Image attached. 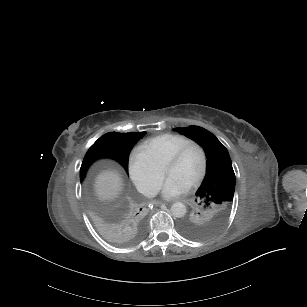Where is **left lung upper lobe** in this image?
Listing matches in <instances>:
<instances>
[{
	"mask_svg": "<svg viewBox=\"0 0 307 307\" xmlns=\"http://www.w3.org/2000/svg\"><path fill=\"white\" fill-rule=\"evenodd\" d=\"M175 130L196 141L206 153V175L195 194L194 211L180 223L185 236L206 239L215 235L228 217L236 181L232 162L225 146L206 129L191 126Z\"/></svg>",
	"mask_w": 307,
	"mask_h": 307,
	"instance_id": "left-lung-upper-lobe-1",
	"label": "left lung upper lobe"
}]
</instances>
